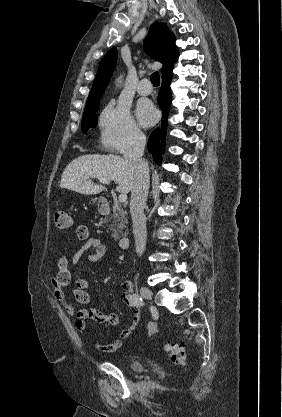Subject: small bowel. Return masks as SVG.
<instances>
[{
    "label": "small bowel",
    "instance_id": "c3829d8e",
    "mask_svg": "<svg viewBox=\"0 0 282 417\" xmlns=\"http://www.w3.org/2000/svg\"><path fill=\"white\" fill-rule=\"evenodd\" d=\"M76 236L78 239L83 241V244L73 252L70 260L65 255L59 258L57 264L58 271L51 278L54 297L64 307L66 312L74 317L75 328L79 332L86 331L87 319L104 324V328L106 330L115 328L119 324V316L116 313H105L95 308L76 310L68 299V287L72 278H74L75 288L73 289V294L76 300L81 304L89 302V295L86 292L88 286L87 281L79 273L73 274L70 271L69 264L71 263L73 266H77L83 258L89 262H97L108 253L107 245L99 237L91 236L86 225H77ZM90 250L93 252L88 253ZM121 290L123 298L129 305L132 313L131 323L119 332L117 338L111 340L110 342L105 344L99 342L93 343L94 348L103 353H113L117 351L122 346L123 341L131 336L132 332L140 322V309L132 302V295L134 292L132 282L124 280L121 283Z\"/></svg>",
    "mask_w": 282,
    "mask_h": 417
}]
</instances>
